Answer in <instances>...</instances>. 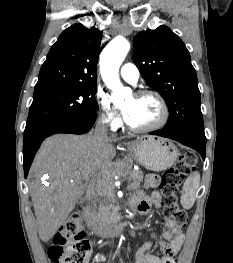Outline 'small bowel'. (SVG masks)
Returning <instances> with one entry per match:
<instances>
[{
    "instance_id": "1",
    "label": "small bowel",
    "mask_w": 233,
    "mask_h": 263,
    "mask_svg": "<svg viewBox=\"0 0 233 263\" xmlns=\"http://www.w3.org/2000/svg\"><path fill=\"white\" fill-rule=\"evenodd\" d=\"M159 177L151 174L146 177L145 189H152L150 194L145 192H138L132 200L131 204H135L136 208L141 214L149 212L151 205L156 207L161 206V195L158 190ZM166 231L163 233V239L153 235L152 240L145 243L136 253L134 259L126 263H176V256L181 249L185 234L182 229L175 225V223L165 218ZM154 244H158L161 250V255H155L150 253L151 248ZM105 257L102 254H97L93 257L92 263H103Z\"/></svg>"
}]
</instances>
